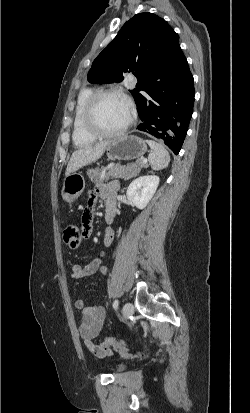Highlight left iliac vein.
<instances>
[{
	"instance_id": "obj_1",
	"label": "left iliac vein",
	"mask_w": 250,
	"mask_h": 413,
	"mask_svg": "<svg viewBox=\"0 0 250 413\" xmlns=\"http://www.w3.org/2000/svg\"><path fill=\"white\" fill-rule=\"evenodd\" d=\"M134 313V307L131 303L127 302L125 303V305L123 306V315L125 319H128L129 317H131Z\"/></svg>"
}]
</instances>
